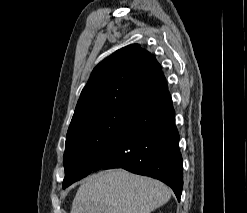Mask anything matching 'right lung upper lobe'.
Masks as SVG:
<instances>
[{
	"instance_id": "1",
	"label": "right lung upper lobe",
	"mask_w": 247,
	"mask_h": 213,
	"mask_svg": "<svg viewBox=\"0 0 247 213\" xmlns=\"http://www.w3.org/2000/svg\"><path fill=\"white\" fill-rule=\"evenodd\" d=\"M156 58L133 44L99 63L81 92L69 129L121 102L153 93L166 86Z\"/></svg>"
}]
</instances>
